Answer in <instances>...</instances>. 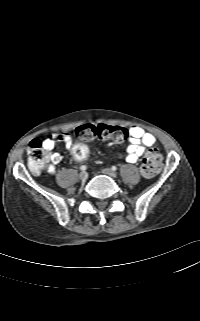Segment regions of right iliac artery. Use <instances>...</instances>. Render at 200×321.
Masks as SVG:
<instances>
[{
  "mask_svg": "<svg viewBox=\"0 0 200 321\" xmlns=\"http://www.w3.org/2000/svg\"><path fill=\"white\" fill-rule=\"evenodd\" d=\"M80 169H81L82 171H85V170L87 169V167H86L85 165H82V166L80 167Z\"/></svg>",
  "mask_w": 200,
  "mask_h": 321,
  "instance_id": "1",
  "label": "right iliac artery"
}]
</instances>
